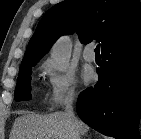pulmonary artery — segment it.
I'll list each match as a JSON object with an SVG mask.
<instances>
[{
    "label": "pulmonary artery",
    "mask_w": 141,
    "mask_h": 139,
    "mask_svg": "<svg viewBox=\"0 0 141 139\" xmlns=\"http://www.w3.org/2000/svg\"><path fill=\"white\" fill-rule=\"evenodd\" d=\"M83 59L87 62H94L95 61V54L93 51V46L92 45H88L85 47L84 51H83Z\"/></svg>",
    "instance_id": "e3ab8cb5"
}]
</instances>
